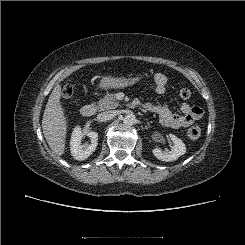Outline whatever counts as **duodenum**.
Masks as SVG:
<instances>
[{"instance_id": "duodenum-1", "label": "duodenum", "mask_w": 245, "mask_h": 245, "mask_svg": "<svg viewBox=\"0 0 245 245\" xmlns=\"http://www.w3.org/2000/svg\"><path fill=\"white\" fill-rule=\"evenodd\" d=\"M95 111L96 108L93 105L86 104L81 108L80 113L83 117H91L95 114Z\"/></svg>"}]
</instances>
